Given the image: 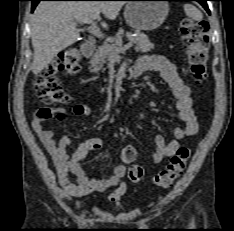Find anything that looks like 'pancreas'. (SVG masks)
Wrapping results in <instances>:
<instances>
[{
	"label": "pancreas",
	"instance_id": "1",
	"mask_svg": "<svg viewBox=\"0 0 234 231\" xmlns=\"http://www.w3.org/2000/svg\"><path fill=\"white\" fill-rule=\"evenodd\" d=\"M127 36L130 42L136 44L135 50L137 52L147 53L154 48V44L151 43L149 38L141 32H135V36L131 33H127ZM122 38V33L118 32L115 37L108 39V43H105L98 48L91 60L90 72L98 73L101 70L103 65L110 60L117 52V49L122 46Z\"/></svg>",
	"mask_w": 234,
	"mask_h": 231
}]
</instances>
